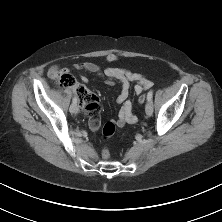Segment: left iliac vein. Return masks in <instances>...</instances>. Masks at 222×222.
Instances as JSON below:
<instances>
[{"label":"left iliac vein","instance_id":"1","mask_svg":"<svg viewBox=\"0 0 222 222\" xmlns=\"http://www.w3.org/2000/svg\"><path fill=\"white\" fill-rule=\"evenodd\" d=\"M145 112L147 116H151L153 114V104L151 101H148L145 106Z\"/></svg>","mask_w":222,"mask_h":222}]
</instances>
